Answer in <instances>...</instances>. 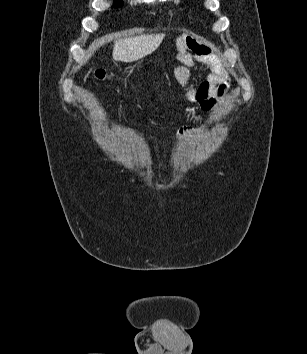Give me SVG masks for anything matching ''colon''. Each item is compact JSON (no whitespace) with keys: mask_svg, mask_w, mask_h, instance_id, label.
I'll return each instance as SVG.
<instances>
[{"mask_svg":"<svg viewBox=\"0 0 307 354\" xmlns=\"http://www.w3.org/2000/svg\"><path fill=\"white\" fill-rule=\"evenodd\" d=\"M94 75L97 79L105 80L108 78V73L104 69H97L94 71Z\"/></svg>","mask_w":307,"mask_h":354,"instance_id":"colon-1","label":"colon"}]
</instances>
